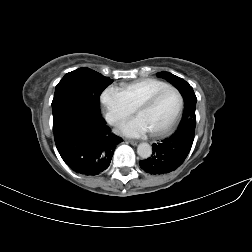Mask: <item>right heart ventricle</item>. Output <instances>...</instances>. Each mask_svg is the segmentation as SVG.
Returning a JSON list of instances; mask_svg holds the SVG:
<instances>
[{
    "instance_id": "obj_1",
    "label": "right heart ventricle",
    "mask_w": 252,
    "mask_h": 252,
    "mask_svg": "<svg viewBox=\"0 0 252 252\" xmlns=\"http://www.w3.org/2000/svg\"><path fill=\"white\" fill-rule=\"evenodd\" d=\"M168 86L169 85L167 83L160 80L142 79L122 85L119 90L126 97L129 104L133 108H136L140 102L149 97L151 94Z\"/></svg>"
}]
</instances>
